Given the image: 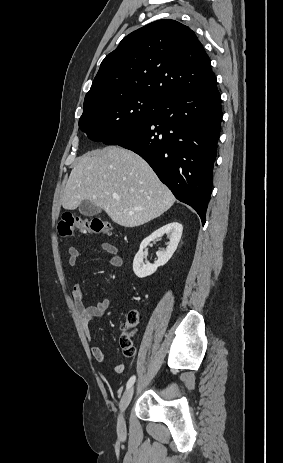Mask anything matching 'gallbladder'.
Here are the masks:
<instances>
[{
	"instance_id": "gallbladder-1",
	"label": "gallbladder",
	"mask_w": 283,
	"mask_h": 463,
	"mask_svg": "<svg viewBox=\"0 0 283 463\" xmlns=\"http://www.w3.org/2000/svg\"><path fill=\"white\" fill-rule=\"evenodd\" d=\"M102 209L93 204L91 201H82L79 205V212L86 217H91L99 214Z\"/></svg>"
}]
</instances>
